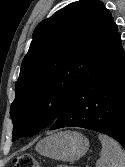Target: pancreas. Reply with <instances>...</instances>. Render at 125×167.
I'll return each mask as SVG.
<instances>
[{"instance_id":"obj_1","label":"pancreas","mask_w":125,"mask_h":167,"mask_svg":"<svg viewBox=\"0 0 125 167\" xmlns=\"http://www.w3.org/2000/svg\"><path fill=\"white\" fill-rule=\"evenodd\" d=\"M58 167H67V166H58Z\"/></svg>"}]
</instances>
